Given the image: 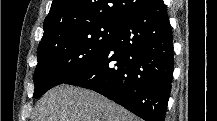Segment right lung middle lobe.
Returning <instances> with one entry per match:
<instances>
[{"label": "right lung middle lobe", "mask_w": 217, "mask_h": 121, "mask_svg": "<svg viewBox=\"0 0 217 121\" xmlns=\"http://www.w3.org/2000/svg\"><path fill=\"white\" fill-rule=\"evenodd\" d=\"M119 25L115 22L84 25L38 47L33 97L43 95L87 68L105 50Z\"/></svg>", "instance_id": "1"}]
</instances>
